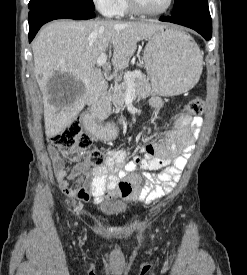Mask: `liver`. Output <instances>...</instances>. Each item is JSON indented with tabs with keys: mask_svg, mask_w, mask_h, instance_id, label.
<instances>
[{
	"mask_svg": "<svg viewBox=\"0 0 247 275\" xmlns=\"http://www.w3.org/2000/svg\"><path fill=\"white\" fill-rule=\"evenodd\" d=\"M165 26L153 22L57 20L36 36L32 49L34 73L43 95L45 134L52 138L68 127L85 105H94L108 83L96 67L102 54H112L116 71L128 67L137 42ZM67 73L80 83L75 96H54L47 82L56 73Z\"/></svg>",
	"mask_w": 247,
	"mask_h": 275,
	"instance_id": "obj_1",
	"label": "liver"
}]
</instances>
